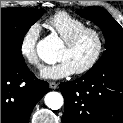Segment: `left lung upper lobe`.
Returning a JSON list of instances; mask_svg holds the SVG:
<instances>
[{"instance_id":"obj_1","label":"left lung upper lobe","mask_w":123,"mask_h":123,"mask_svg":"<svg viewBox=\"0 0 123 123\" xmlns=\"http://www.w3.org/2000/svg\"><path fill=\"white\" fill-rule=\"evenodd\" d=\"M76 12L99 26L106 40V50L93 67L109 60L123 58V28L106 10L94 6Z\"/></svg>"}]
</instances>
